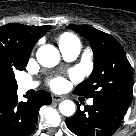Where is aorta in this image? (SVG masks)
Listing matches in <instances>:
<instances>
[{"mask_svg":"<svg viewBox=\"0 0 136 136\" xmlns=\"http://www.w3.org/2000/svg\"><path fill=\"white\" fill-rule=\"evenodd\" d=\"M36 57L43 67H54L59 63L60 53L53 45H43L37 50ZM59 110L64 116H72L75 112V103L64 100L59 104Z\"/></svg>","mask_w":136,"mask_h":136,"instance_id":"1","label":"aorta"}]
</instances>
